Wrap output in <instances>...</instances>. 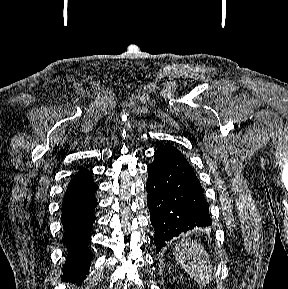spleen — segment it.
Here are the masks:
<instances>
[{
  "label": "spleen",
  "mask_w": 288,
  "mask_h": 289,
  "mask_svg": "<svg viewBox=\"0 0 288 289\" xmlns=\"http://www.w3.org/2000/svg\"><path fill=\"white\" fill-rule=\"evenodd\" d=\"M176 262L199 285L212 281V266L209 255L199 243L182 239L173 252Z\"/></svg>",
  "instance_id": "1"
}]
</instances>
